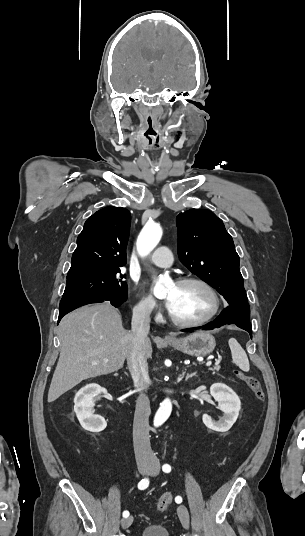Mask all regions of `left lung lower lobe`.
<instances>
[{"mask_svg": "<svg viewBox=\"0 0 305 536\" xmlns=\"http://www.w3.org/2000/svg\"><path fill=\"white\" fill-rule=\"evenodd\" d=\"M235 324L239 328L246 330L252 338V326L250 323L249 304H241L228 306L223 310L221 315L213 322L205 326H202L204 330H211L219 328L222 325ZM185 332H191L193 329L183 330Z\"/></svg>", "mask_w": 305, "mask_h": 536, "instance_id": "0a47b994", "label": "left lung lower lobe"}]
</instances>
